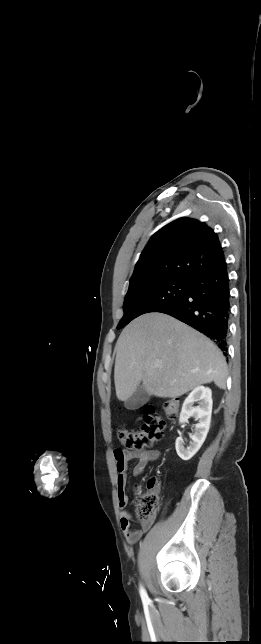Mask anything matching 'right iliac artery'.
Here are the masks:
<instances>
[{
    "instance_id": "obj_1",
    "label": "right iliac artery",
    "mask_w": 261,
    "mask_h": 644,
    "mask_svg": "<svg viewBox=\"0 0 261 644\" xmlns=\"http://www.w3.org/2000/svg\"><path fill=\"white\" fill-rule=\"evenodd\" d=\"M140 595L143 601L148 599L147 593L143 587H140Z\"/></svg>"
}]
</instances>
